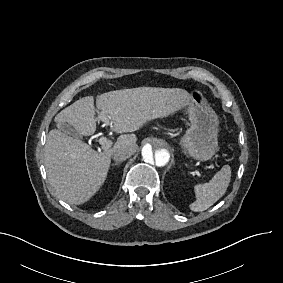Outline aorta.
<instances>
[{"instance_id":"762f6f07","label":"aorta","mask_w":283,"mask_h":283,"mask_svg":"<svg viewBox=\"0 0 283 283\" xmlns=\"http://www.w3.org/2000/svg\"><path fill=\"white\" fill-rule=\"evenodd\" d=\"M143 163L152 170H161L171 162V146L159 137H148L144 140L142 148Z\"/></svg>"}]
</instances>
